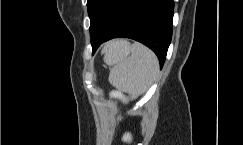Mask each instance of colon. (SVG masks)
<instances>
[{
    "instance_id": "obj_1",
    "label": "colon",
    "mask_w": 243,
    "mask_h": 145,
    "mask_svg": "<svg viewBox=\"0 0 243 145\" xmlns=\"http://www.w3.org/2000/svg\"><path fill=\"white\" fill-rule=\"evenodd\" d=\"M130 140V136L129 135H126L125 136V141H129Z\"/></svg>"
}]
</instances>
